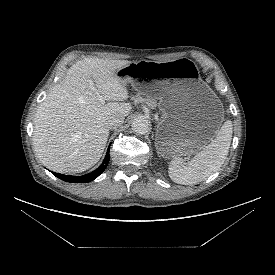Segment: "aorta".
Segmentation results:
<instances>
[{
    "instance_id": "762f6f07",
    "label": "aorta",
    "mask_w": 275,
    "mask_h": 275,
    "mask_svg": "<svg viewBox=\"0 0 275 275\" xmlns=\"http://www.w3.org/2000/svg\"><path fill=\"white\" fill-rule=\"evenodd\" d=\"M132 130L136 134L143 135L150 129V123L148 119L143 116H138L132 121Z\"/></svg>"
}]
</instances>
